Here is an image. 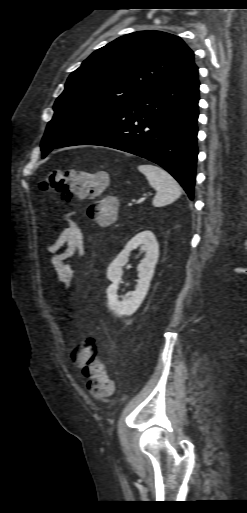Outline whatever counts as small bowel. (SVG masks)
Returning <instances> with one entry per match:
<instances>
[{
	"instance_id": "c3829d8e",
	"label": "small bowel",
	"mask_w": 247,
	"mask_h": 513,
	"mask_svg": "<svg viewBox=\"0 0 247 513\" xmlns=\"http://www.w3.org/2000/svg\"><path fill=\"white\" fill-rule=\"evenodd\" d=\"M65 222L67 226L55 239L46 244V250L52 255L51 265L57 274L59 283L63 287H68L73 279L68 259L73 256H83L84 238L82 230L75 220L67 217Z\"/></svg>"
}]
</instances>
